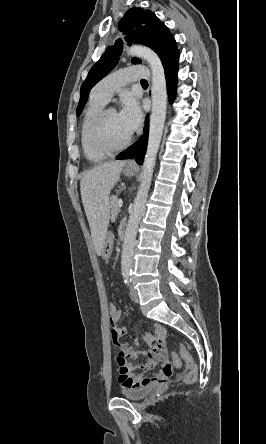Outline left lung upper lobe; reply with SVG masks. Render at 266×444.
Here are the masks:
<instances>
[{
	"label": "left lung upper lobe",
	"instance_id": "left-lung-upper-lobe-1",
	"mask_svg": "<svg viewBox=\"0 0 266 444\" xmlns=\"http://www.w3.org/2000/svg\"><path fill=\"white\" fill-rule=\"evenodd\" d=\"M118 29L126 35L125 40L129 43H141L153 49L160 57L163 65L179 55L173 35L150 10H144L143 8L129 9L120 20ZM122 45L123 41L117 39L114 45L109 46L90 69L81 86L77 116L82 112L91 88L117 65L122 53ZM131 61L132 63H141L138 58H133Z\"/></svg>",
	"mask_w": 266,
	"mask_h": 444
}]
</instances>
